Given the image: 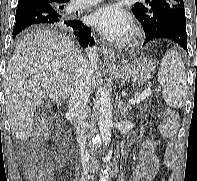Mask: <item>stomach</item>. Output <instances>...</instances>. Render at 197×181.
I'll use <instances>...</instances> for the list:
<instances>
[{"label":"stomach","instance_id":"0dacf381","mask_svg":"<svg viewBox=\"0 0 197 181\" xmlns=\"http://www.w3.org/2000/svg\"><path fill=\"white\" fill-rule=\"evenodd\" d=\"M155 62L149 58H132L124 62L116 71V75L135 84H143L153 77Z\"/></svg>","mask_w":197,"mask_h":181}]
</instances>
